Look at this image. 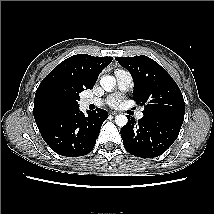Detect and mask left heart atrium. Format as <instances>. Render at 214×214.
Instances as JSON below:
<instances>
[{"mask_svg":"<svg viewBox=\"0 0 214 214\" xmlns=\"http://www.w3.org/2000/svg\"><path fill=\"white\" fill-rule=\"evenodd\" d=\"M121 102L120 96H113L110 98L109 103L111 106H118Z\"/></svg>","mask_w":214,"mask_h":214,"instance_id":"1","label":"left heart atrium"}]
</instances>
